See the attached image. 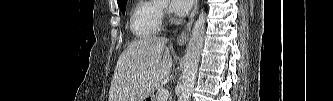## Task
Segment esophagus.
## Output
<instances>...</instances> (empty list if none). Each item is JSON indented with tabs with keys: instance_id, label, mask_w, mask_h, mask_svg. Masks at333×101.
<instances>
[{
	"instance_id": "esophagus-1",
	"label": "esophagus",
	"mask_w": 333,
	"mask_h": 101,
	"mask_svg": "<svg viewBox=\"0 0 333 101\" xmlns=\"http://www.w3.org/2000/svg\"><path fill=\"white\" fill-rule=\"evenodd\" d=\"M198 2H199L198 0L195 1L193 11H192V13L190 15V18H189V22H188L186 28L179 34V36L177 38V43L179 45H184L188 41L189 34H190V31H191V27H192V24L194 22V18L196 16V13H197V10H198Z\"/></svg>"
}]
</instances>
